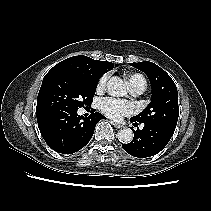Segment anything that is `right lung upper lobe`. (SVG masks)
I'll use <instances>...</instances> for the list:
<instances>
[{
	"instance_id": "right-lung-upper-lobe-1",
	"label": "right lung upper lobe",
	"mask_w": 211,
	"mask_h": 211,
	"mask_svg": "<svg viewBox=\"0 0 211 211\" xmlns=\"http://www.w3.org/2000/svg\"><path fill=\"white\" fill-rule=\"evenodd\" d=\"M54 67L76 70L90 78L100 79L104 73L113 69L114 65L111 62L98 61L87 56L80 55L65 59Z\"/></svg>"
}]
</instances>
